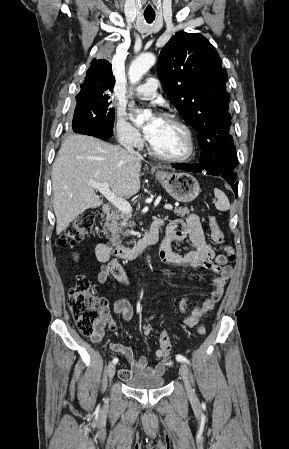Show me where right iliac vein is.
<instances>
[{"mask_svg": "<svg viewBox=\"0 0 289 449\" xmlns=\"http://www.w3.org/2000/svg\"><path fill=\"white\" fill-rule=\"evenodd\" d=\"M115 371H116L115 364L110 363L107 367V375H108L109 381H111L112 378L114 377Z\"/></svg>", "mask_w": 289, "mask_h": 449, "instance_id": "63e3f726", "label": "right iliac vein"}]
</instances>
